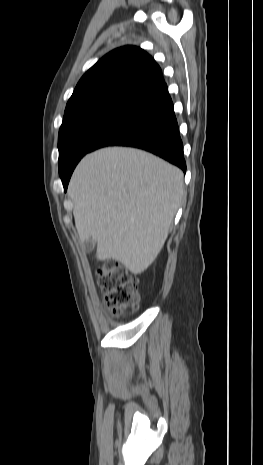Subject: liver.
<instances>
[{
    "label": "liver",
    "instance_id": "liver-1",
    "mask_svg": "<svg viewBox=\"0 0 263 465\" xmlns=\"http://www.w3.org/2000/svg\"><path fill=\"white\" fill-rule=\"evenodd\" d=\"M183 173L145 151L109 147L86 155L68 193L80 241L97 243V260L141 274L156 259L183 197Z\"/></svg>",
    "mask_w": 263,
    "mask_h": 465
}]
</instances>
